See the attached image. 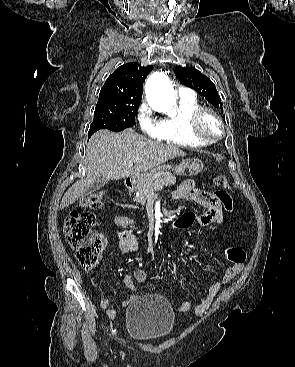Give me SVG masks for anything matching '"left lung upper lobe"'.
<instances>
[{
	"label": "left lung upper lobe",
	"mask_w": 295,
	"mask_h": 367,
	"mask_svg": "<svg viewBox=\"0 0 295 367\" xmlns=\"http://www.w3.org/2000/svg\"><path fill=\"white\" fill-rule=\"evenodd\" d=\"M175 75L182 84L194 89L214 107L222 108V101L215 84L200 71L192 67L177 66Z\"/></svg>",
	"instance_id": "5c2ea615"
}]
</instances>
